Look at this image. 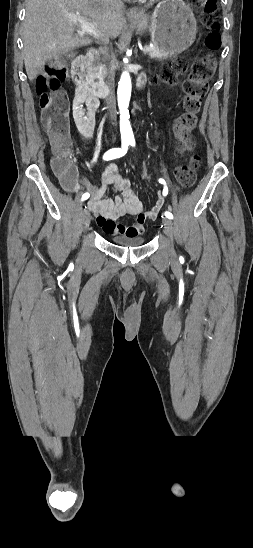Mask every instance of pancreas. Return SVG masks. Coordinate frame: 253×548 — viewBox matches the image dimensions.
Returning <instances> with one entry per match:
<instances>
[{
  "label": "pancreas",
  "mask_w": 253,
  "mask_h": 548,
  "mask_svg": "<svg viewBox=\"0 0 253 548\" xmlns=\"http://www.w3.org/2000/svg\"><path fill=\"white\" fill-rule=\"evenodd\" d=\"M148 54L151 58L154 59H167L173 56V54L166 52L157 46H153L152 49L148 51ZM88 73L93 85L99 86L100 84H102L105 70L101 63L97 62L91 64L88 68ZM94 80H97L98 82H94Z\"/></svg>",
  "instance_id": "cf45deb5"
}]
</instances>
